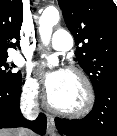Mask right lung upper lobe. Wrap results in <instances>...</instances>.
Here are the masks:
<instances>
[{
	"mask_svg": "<svg viewBox=\"0 0 117 136\" xmlns=\"http://www.w3.org/2000/svg\"><path fill=\"white\" fill-rule=\"evenodd\" d=\"M23 18L22 0H0V57L8 56L7 48L18 43Z\"/></svg>",
	"mask_w": 117,
	"mask_h": 136,
	"instance_id": "right-lung-upper-lobe-1",
	"label": "right lung upper lobe"
}]
</instances>
